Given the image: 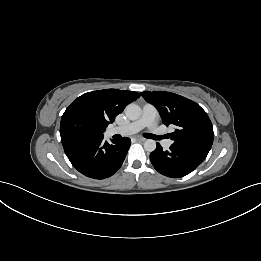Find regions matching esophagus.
Wrapping results in <instances>:
<instances>
[{
  "label": "esophagus",
  "mask_w": 261,
  "mask_h": 261,
  "mask_svg": "<svg viewBox=\"0 0 261 261\" xmlns=\"http://www.w3.org/2000/svg\"><path fill=\"white\" fill-rule=\"evenodd\" d=\"M136 140H137L138 142H144V141H145V138L136 137Z\"/></svg>",
  "instance_id": "1"
}]
</instances>
